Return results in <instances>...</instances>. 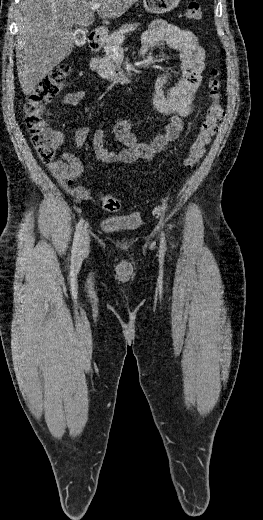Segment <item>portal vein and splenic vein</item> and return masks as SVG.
<instances>
[{"instance_id": "obj_1", "label": "portal vein and splenic vein", "mask_w": 263, "mask_h": 520, "mask_svg": "<svg viewBox=\"0 0 263 520\" xmlns=\"http://www.w3.org/2000/svg\"><path fill=\"white\" fill-rule=\"evenodd\" d=\"M99 7H100V4H95V5L92 6L91 9H92L93 11H96V10L99 9ZM114 49H119V47H115Z\"/></svg>"}]
</instances>
